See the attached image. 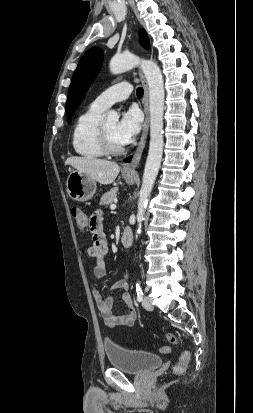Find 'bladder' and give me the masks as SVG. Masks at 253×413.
Instances as JSON below:
<instances>
[{
	"instance_id": "obj_1",
	"label": "bladder",
	"mask_w": 253,
	"mask_h": 413,
	"mask_svg": "<svg viewBox=\"0 0 253 413\" xmlns=\"http://www.w3.org/2000/svg\"><path fill=\"white\" fill-rule=\"evenodd\" d=\"M110 365L124 372L142 375L162 365L161 356L141 350L129 349L112 342L104 343Z\"/></svg>"
}]
</instances>
